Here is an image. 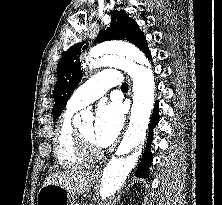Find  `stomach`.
<instances>
[{"label":"stomach","mask_w":222,"mask_h":205,"mask_svg":"<svg viewBox=\"0 0 222 205\" xmlns=\"http://www.w3.org/2000/svg\"><path fill=\"white\" fill-rule=\"evenodd\" d=\"M95 175H92L94 181ZM74 198L70 192L59 185H43L37 195V205H73Z\"/></svg>","instance_id":"stomach-1"}]
</instances>
